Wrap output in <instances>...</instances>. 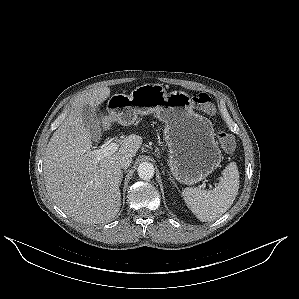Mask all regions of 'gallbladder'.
Wrapping results in <instances>:
<instances>
[{"label": "gallbladder", "instance_id": "1", "mask_svg": "<svg viewBox=\"0 0 299 299\" xmlns=\"http://www.w3.org/2000/svg\"><path fill=\"white\" fill-rule=\"evenodd\" d=\"M82 118L86 130L92 135L93 139H97L100 136V125L94 109L89 105L84 106L82 109Z\"/></svg>", "mask_w": 299, "mask_h": 299}]
</instances>
